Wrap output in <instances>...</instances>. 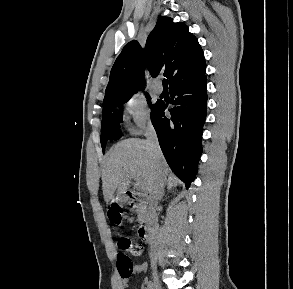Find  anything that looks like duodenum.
Listing matches in <instances>:
<instances>
[{
    "label": "duodenum",
    "mask_w": 293,
    "mask_h": 289,
    "mask_svg": "<svg viewBox=\"0 0 293 289\" xmlns=\"http://www.w3.org/2000/svg\"><path fill=\"white\" fill-rule=\"evenodd\" d=\"M125 202L130 207L142 208L145 206V199L139 197L134 192H127L125 194ZM139 235L144 243L152 244L156 238L155 222L154 220L146 216L143 218L138 229Z\"/></svg>",
    "instance_id": "duodenum-1"
}]
</instances>
